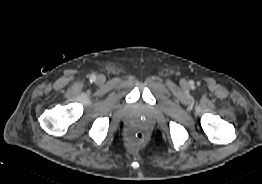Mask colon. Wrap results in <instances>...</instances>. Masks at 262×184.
I'll use <instances>...</instances> for the list:
<instances>
[{"instance_id":"colon-1","label":"colon","mask_w":262,"mask_h":184,"mask_svg":"<svg viewBox=\"0 0 262 184\" xmlns=\"http://www.w3.org/2000/svg\"><path fill=\"white\" fill-rule=\"evenodd\" d=\"M145 140H146V134L141 128L135 127L130 130L129 141L131 142V144L141 145L145 142Z\"/></svg>"}]
</instances>
